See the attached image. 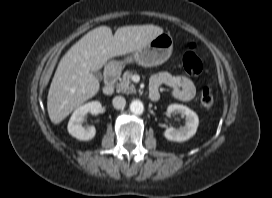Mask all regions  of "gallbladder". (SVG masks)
I'll return each mask as SVG.
<instances>
[{
  "label": "gallbladder",
  "mask_w": 272,
  "mask_h": 198,
  "mask_svg": "<svg viewBox=\"0 0 272 198\" xmlns=\"http://www.w3.org/2000/svg\"><path fill=\"white\" fill-rule=\"evenodd\" d=\"M92 74L98 79L101 80L102 79V74L100 71H93Z\"/></svg>",
  "instance_id": "obj_1"
}]
</instances>
